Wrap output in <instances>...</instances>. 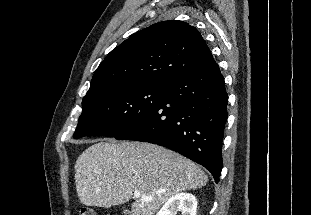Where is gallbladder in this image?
<instances>
[{"label":"gallbladder","instance_id":"obj_1","mask_svg":"<svg viewBox=\"0 0 311 215\" xmlns=\"http://www.w3.org/2000/svg\"><path fill=\"white\" fill-rule=\"evenodd\" d=\"M123 214L124 215H130V211L128 209H123Z\"/></svg>","mask_w":311,"mask_h":215}]
</instances>
